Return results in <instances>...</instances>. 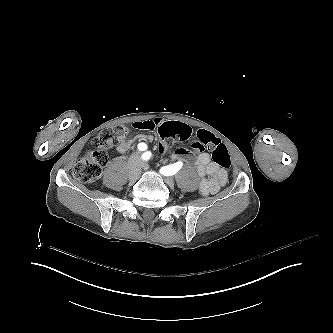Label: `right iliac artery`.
Listing matches in <instances>:
<instances>
[{"label": "right iliac artery", "instance_id": "82829eb1", "mask_svg": "<svg viewBox=\"0 0 333 333\" xmlns=\"http://www.w3.org/2000/svg\"><path fill=\"white\" fill-rule=\"evenodd\" d=\"M138 149L140 151H145L147 149V145L145 143H139L138 144ZM152 155V154H151ZM142 158H143V155H142Z\"/></svg>", "mask_w": 333, "mask_h": 333}]
</instances>
